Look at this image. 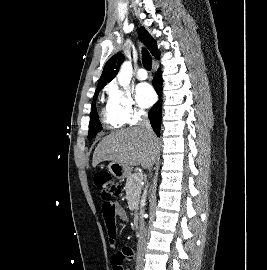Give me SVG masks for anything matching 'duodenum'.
Wrapping results in <instances>:
<instances>
[{"label": "duodenum", "instance_id": "1", "mask_svg": "<svg viewBox=\"0 0 267 270\" xmlns=\"http://www.w3.org/2000/svg\"><path fill=\"white\" fill-rule=\"evenodd\" d=\"M134 224L136 227H139L140 225V216L136 215L135 219H134Z\"/></svg>", "mask_w": 267, "mask_h": 270}]
</instances>
